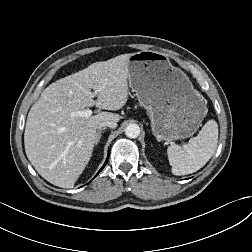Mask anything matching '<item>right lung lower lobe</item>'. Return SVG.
Segmentation results:
<instances>
[{"label":"right lung lower lobe","mask_w":252,"mask_h":252,"mask_svg":"<svg viewBox=\"0 0 252 252\" xmlns=\"http://www.w3.org/2000/svg\"><path fill=\"white\" fill-rule=\"evenodd\" d=\"M108 158H109V155H108V157H107V159H106L105 164H104L103 167L99 170V172H100V171L104 168V166L107 164ZM99 172H98V173H99Z\"/></svg>","instance_id":"98d812e1"}]
</instances>
